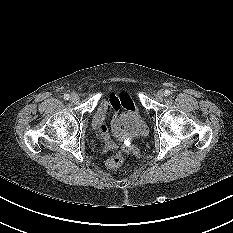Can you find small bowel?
Masks as SVG:
<instances>
[{"instance_id": "c3829d8e", "label": "small bowel", "mask_w": 233, "mask_h": 233, "mask_svg": "<svg viewBox=\"0 0 233 233\" xmlns=\"http://www.w3.org/2000/svg\"><path fill=\"white\" fill-rule=\"evenodd\" d=\"M125 108L128 111H136V106L131 97L122 91H113L110 93L107 99L100 102L97 107L94 117L93 126L97 130L98 134L103 136L106 132V121L110 114L113 115V122L116 119V113L121 109ZM110 148H114L115 145L112 142L108 143Z\"/></svg>"}]
</instances>
